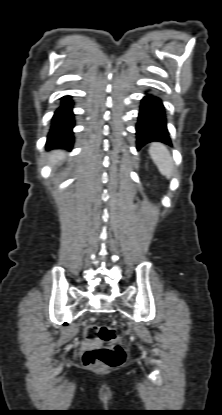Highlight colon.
<instances>
[{
  "mask_svg": "<svg viewBox=\"0 0 222 415\" xmlns=\"http://www.w3.org/2000/svg\"><path fill=\"white\" fill-rule=\"evenodd\" d=\"M122 333L113 320H106L101 325H88L84 330V340L88 343L97 340L110 343L116 340ZM127 357L125 348L116 344L112 346H96L87 349L82 357V362L86 367L98 370L111 369L121 366Z\"/></svg>",
  "mask_w": 222,
  "mask_h": 415,
  "instance_id": "5ec220e1",
  "label": "colon"
}]
</instances>
